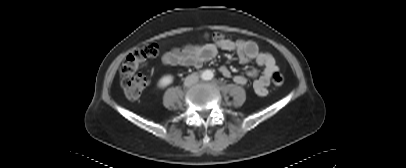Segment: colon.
<instances>
[{
  "mask_svg": "<svg viewBox=\"0 0 406 168\" xmlns=\"http://www.w3.org/2000/svg\"><path fill=\"white\" fill-rule=\"evenodd\" d=\"M207 38L214 43L222 44L228 39L222 33H213L207 35ZM158 53V46L155 43H149L132 52L123 62L120 69L121 86L125 95L130 99H137L142 94L148 84V80L141 69L144 63L154 58ZM272 83L275 86H281L284 78L279 71H274L271 76Z\"/></svg>",
  "mask_w": 406,
  "mask_h": 168,
  "instance_id": "5ec220e1",
  "label": "colon"
}]
</instances>
